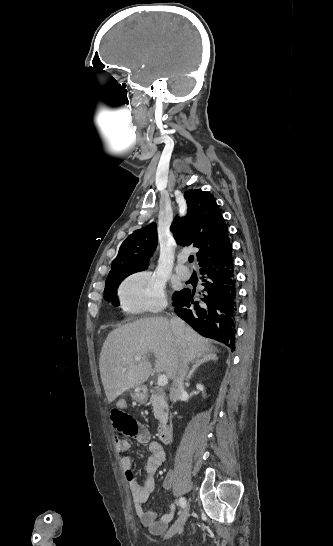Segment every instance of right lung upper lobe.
<instances>
[{
	"instance_id": "right-lung-upper-lobe-1",
	"label": "right lung upper lobe",
	"mask_w": 333,
	"mask_h": 546,
	"mask_svg": "<svg viewBox=\"0 0 333 546\" xmlns=\"http://www.w3.org/2000/svg\"><path fill=\"white\" fill-rule=\"evenodd\" d=\"M187 214L175 218L171 226L179 245L199 248V266L208 263L228 245V228L214 197L201 189L189 190L184 195ZM157 245L156 224L134 231L120 246L112 262L113 271L145 270Z\"/></svg>"
}]
</instances>
